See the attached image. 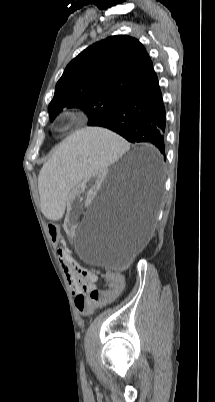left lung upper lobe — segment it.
Segmentation results:
<instances>
[{
  "label": "left lung upper lobe",
  "instance_id": "5c2ea615",
  "mask_svg": "<svg viewBox=\"0 0 215 402\" xmlns=\"http://www.w3.org/2000/svg\"><path fill=\"white\" fill-rule=\"evenodd\" d=\"M152 70V61L137 39L116 35L101 40L67 65L49 104L50 120L65 107H77L87 113L89 126H97Z\"/></svg>",
  "mask_w": 215,
  "mask_h": 402
}]
</instances>
